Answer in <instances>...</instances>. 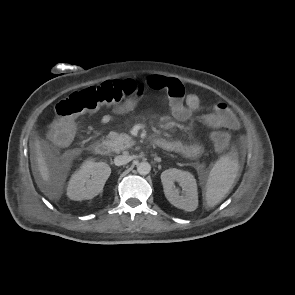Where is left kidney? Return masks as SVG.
<instances>
[{"label":"left kidney","instance_id":"obj_1","mask_svg":"<svg viewBox=\"0 0 295 295\" xmlns=\"http://www.w3.org/2000/svg\"><path fill=\"white\" fill-rule=\"evenodd\" d=\"M161 182L165 197L172 205L188 212L196 210L198 206L197 183L190 172L176 168L167 169L161 174ZM175 182L182 187V195L175 187Z\"/></svg>","mask_w":295,"mask_h":295}]
</instances>
